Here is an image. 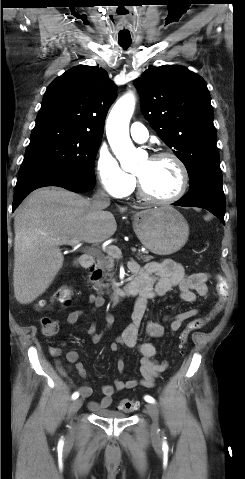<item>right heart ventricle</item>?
Masks as SVG:
<instances>
[{
	"label": "right heart ventricle",
	"instance_id": "1",
	"mask_svg": "<svg viewBox=\"0 0 245 479\" xmlns=\"http://www.w3.org/2000/svg\"><path fill=\"white\" fill-rule=\"evenodd\" d=\"M132 178H133V185H132V188L130 189V191L128 192V194H129V193L134 189V187H135V177L132 176ZM128 194H127V195H128Z\"/></svg>",
	"mask_w": 245,
	"mask_h": 479
}]
</instances>
